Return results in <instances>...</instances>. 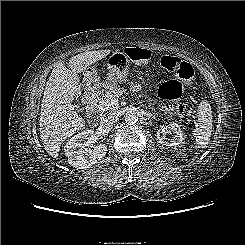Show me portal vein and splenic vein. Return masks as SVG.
Here are the masks:
<instances>
[{
  "mask_svg": "<svg viewBox=\"0 0 245 245\" xmlns=\"http://www.w3.org/2000/svg\"><path fill=\"white\" fill-rule=\"evenodd\" d=\"M116 105H118V98H112L110 102L102 104L100 106V109L104 110L106 108L113 107V106H116Z\"/></svg>",
  "mask_w": 245,
  "mask_h": 245,
  "instance_id": "18ae733b",
  "label": "portal vein and splenic vein"
}]
</instances>
